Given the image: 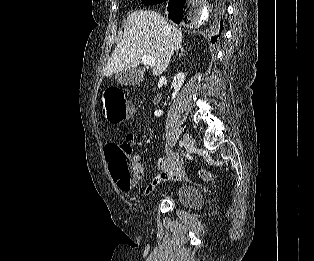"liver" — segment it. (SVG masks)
Returning a JSON list of instances; mask_svg holds the SVG:
<instances>
[{
    "label": "liver",
    "mask_w": 314,
    "mask_h": 261,
    "mask_svg": "<svg viewBox=\"0 0 314 261\" xmlns=\"http://www.w3.org/2000/svg\"><path fill=\"white\" fill-rule=\"evenodd\" d=\"M182 32L159 13L150 10L131 12L125 23L122 40L114 49L104 75L136 69L144 55L155 58L153 75L160 76L168 67L174 51L180 49Z\"/></svg>",
    "instance_id": "obj_1"
}]
</instances>
